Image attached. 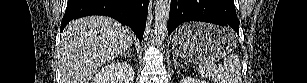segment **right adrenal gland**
<instances>
[{
    "instance_id": "obj_1",
    "label": "right adrenal gland",
    "mask_w": 307,
    "mask_h": 83,
    "mask_svg": "<svg viewBox=\"0 0 307 83\" xmlns=\"http://www.w3.org/2000/svg\"><path fill=\"white\" fill-rule=\"evenodd\" d=\"M125 55H128L129 57H132V54H131V48H129L126 52H124L123 54H121L120 56L123 57Z\"/></svg>"
}]
</instances>
